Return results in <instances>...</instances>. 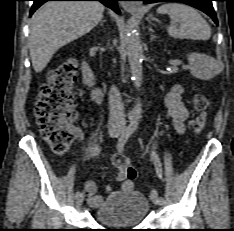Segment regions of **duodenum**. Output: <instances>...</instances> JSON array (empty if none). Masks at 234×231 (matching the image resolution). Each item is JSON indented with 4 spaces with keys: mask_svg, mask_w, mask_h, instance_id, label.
I'll use <instances>...</instances> for the list:
<instances>
[{
    "mask_svg": "<svg viewBox=\"0 0 234 231\" xmlns=\"http://www.w3.org/2000/svg\"><path fill=\"white\" fill-rule=\"evenodd\" d=\"M83 76L85 79V82L92 87L93 93L95 97H99L101 93V88L97 85L96 78L94 75V72L92 70V67L89 63H85L83 65Z\"/></svg>",
    "mask_w": 234,
    "mask_h": 231,
    "instance_id": "duodenum-1",
    "label": "duodenum"
}]
</instances>
